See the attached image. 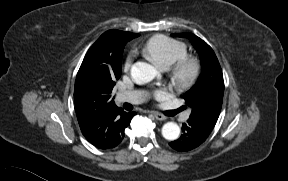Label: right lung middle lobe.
Segmentation results:
<instances>
[{"mask_svg": "<svg viewBox=\"0 0 288 181\" xmlns=\"http://www.w3.org/2000/svg\"><path fill=\"white\" fill-rule=\"evenodd\" d=\"M123 49L124 48L122 47L121 50L116 55V61H117L120 71H121V58H122Z\"/></svg>", "mask_w": 288, "mask_h": 181, "instance_id": "dd1d6c3e", "label": "right lung middle lobe"}]
</instances>
